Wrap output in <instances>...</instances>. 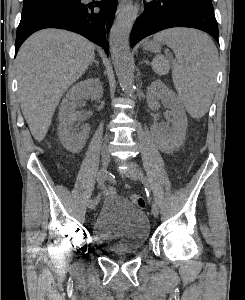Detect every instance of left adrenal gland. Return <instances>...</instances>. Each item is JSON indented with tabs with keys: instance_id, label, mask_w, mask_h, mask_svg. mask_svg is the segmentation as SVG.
Masks as SVG:
<instances>
[{
	"instance_id": "1",
	"label": "left adrenal gland",
	"mask_w": 245,
	"mask_h": 300,
	"mask_svg": "<svg viewBox=\"0 0 245 300\" xmlns=\"http://www.w3.org/2000/svg\"><path fill=\"white\" fill-rule=\"evenodd\" d=\"M144 63H145V64H149L147 60H143V61L141 62V64H144Z\"/></svg>"
}]
</instances>
